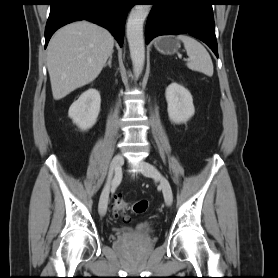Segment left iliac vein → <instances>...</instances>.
<instances>
[{
  "label": "left iliac vein",
  "mask_w": 278,
  "mask_h": 278,
  "mask_svg": "<svg viewBox=\"0 0 278 278\" xmlns=\"http://www.w3.org/2000/svg\"><path fill=\"white\" fill-rule=\"evenodd\" d=\"M141 169L145 176L151 177L160 182L165 203L170 206L173 201V194L169 181L157 170L156 167L147 162L141 163Z\"/></svg>",
  "instance_id": "left-iliac-vein-1"
}]
</instances>
